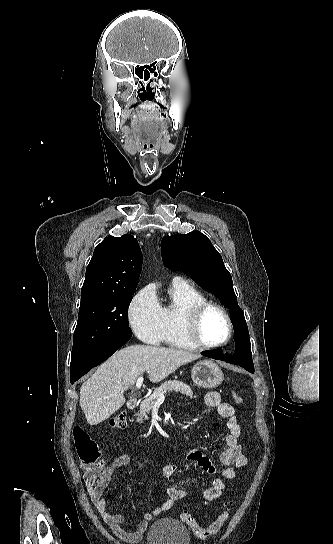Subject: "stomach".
<instances>
[{
  "instance_id": "stomach-1",
  "label": "stomach",
  "mask_w": 333,
  "mask_h": 544,
  "mask_svg": "<svg viewBox=\"0 0 333 544\" xmlns=\"http://www.w3.org/2000/svg\"><path fill=\"white\" fill-rule=\"evenodd\" d=\"M191 378L198 387L213 389L222 383L224 375L216 363L203 360L193 367Z\"/></svg>"
}]
</instances>
